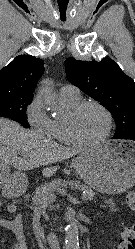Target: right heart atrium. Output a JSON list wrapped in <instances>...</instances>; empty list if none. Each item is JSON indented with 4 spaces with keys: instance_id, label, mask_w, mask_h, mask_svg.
Wrapping results in <instances>:
<instances>
[{
    "instance_id": "right-heart-atrium-1",
    "label": "right heart atrium",
    "mask_w": 135,
    "mask_h": 249,
    "mask_svg": "<svg viewBox=\"0 0 135 249\" xmlns=\"http://www.w3.org/2000/svg\"><path fill=\"white\" fill-rule=\"evenodd\" d=\"M26 118L35 132L41 135H48L51 119L45 113V105L40 95L35 96L27 106Z\"/></svg>"
}]
</instances>
